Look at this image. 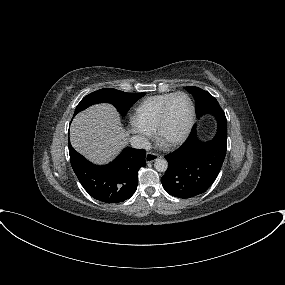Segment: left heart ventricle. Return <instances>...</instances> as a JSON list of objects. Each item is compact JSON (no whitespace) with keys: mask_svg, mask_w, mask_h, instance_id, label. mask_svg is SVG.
I'll list each match as a JSON object with an SVG mask.
<instances>
[{"mask_svg":"<svg viewBox=\"0 0 285 285\" xmlns=\"http://www.w3.org/2000/svg\"><path fill=\"white\" fill-rule=\"evenodd\" d=\"M191 114L189 100L185 96H177L171 103L168 119L163 129L164 139L178 137L185 129Z\"/></svg>","mask_w":285,"mask_h":285,"instance_id":"obj_1","label":"left heart ventricle"}]
</instances>
